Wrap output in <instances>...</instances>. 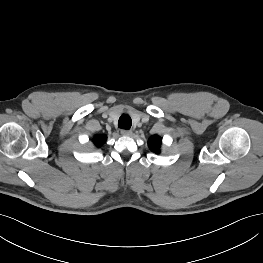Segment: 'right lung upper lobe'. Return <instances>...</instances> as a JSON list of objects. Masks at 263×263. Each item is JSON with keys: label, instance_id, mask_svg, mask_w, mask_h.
Returning a JSON list of instances; mask_svg holds the SVG:
<instances>
[{"label": "right lung upper lobe", "instance_id": "1", "mask_svg": "<svg viewBox=\"0 0 263 263\" xmlns=\"http://www.w3.org/2000/svg\"><path fill=\"white\" fill-rule=\"evenodd\" d=\"M106 141V136L105 135H98L94 139V143L97 147H100L104 142Z\"/></svg>", "mask_w": 263, "mask_h": 263}]
</instances>
